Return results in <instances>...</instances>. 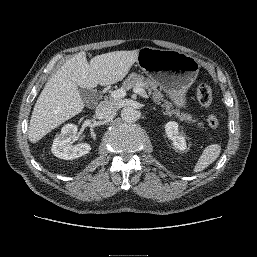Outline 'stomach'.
<instances>
[{"mask_svg": "<svg viewBox=\"0 0 257 257\" xmlns=\"http://www.w3.org/2000/svg\"><path fill=\"white\" fill-rule=\"evenodd\" d=\"M136 63L170 95L177 107H187L186 93L194 83L200 67L195 57L177 50L142 47Z\"/></svg>", "mask_w": 257, "mask_h": 257, "instance_id": "1", "label": "stomach"}]
</instances>
